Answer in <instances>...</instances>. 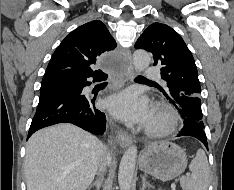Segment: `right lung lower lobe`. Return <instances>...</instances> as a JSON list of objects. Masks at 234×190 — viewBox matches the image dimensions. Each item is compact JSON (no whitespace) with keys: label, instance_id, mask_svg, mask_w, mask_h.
Listing matches in <instances>:
<instances>
[{"label":"right lung lower lobe","instance_id":"1","mask_svg":"<svg viewBox=\"0 0 234 190\" xmlns=\"http://www.w3.org/2000/svg\"><path fill=\"white\" fill-rule=\"evenodd\" d=\"M93 81L107 79L103 72L84 71L55 78L40 90L39 104L32 119L27 139L37 130L57 123H72L93 134L102 135L106 127L105 114L95 108V98L82 94Z\"/></svg>","mask_w":234,"mask_h":190}]
</instances>
